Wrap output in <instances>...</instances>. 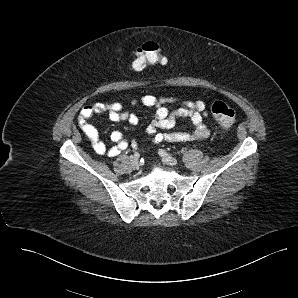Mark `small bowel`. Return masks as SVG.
<instances>
[{
  "mask_svg": "<svg viewBox=\"0 0 298 298\" xmlns=\"http://www.w3.org/2000/svg\"><path fill=\"white\" fill-rule=\"evenodd\" d=\"M131 106L142 104L155 109L150 124L146 128L147 134L154 144L162 142H194L207 138L210 130L205 125L204 119L207 116V105L203 100L189 101L180 100L177 96H153L145 95L130 102ZM170 107H176L170 111ZM107 113L112 122L126 121L131 125H137L138 117L129 111H124L120 102L102 103L98 102L84 106L78 114L77 122L83 133L91 141L94 151L98 155L110 157L118 156L129 146L128 141L120 131H112L110 139L112 146L106 145L99 137L97 128L90 123V120L99 114ZM187 117L194 125L191 132L171 131L178 119ZM138 142L132 141L131 145L136 146Z\"/></svg>",
  "mask_w": 298,
  "mask_h": 298,
  "instance_id": "c3829d8e",
  "label": "small bowel"
}]
</instances>
